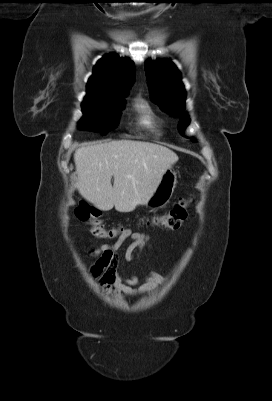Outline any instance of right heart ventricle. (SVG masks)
<instances>
[{
	"label": "right heart ventricle",
	"instance_id": "obj_1",
	"mask_svg": "<svg viewBox=\"0 0 272 401\" xmlns=\"http://www.w3.org/2000/svg\"><path fill=\"white\" fill-rule=\"evenodd\" d=\"M136 109L140 115V122L147 127H154L156 124L155 115L146 101H139L136 104Z\"/></svg>",
	"mask_w": 272,
	"mask_h": 401
}]
</instances>
